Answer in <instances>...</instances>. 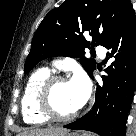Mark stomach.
<instances>
[{
	"label": "stomach",
	"mask_w": 136,
	"mask_h": 136,
	"mask_svg": "<svg viewBox=\"0 0 136 136\" xmlns=\"http://www.w3.org/2000/svg\"><path fill=\"white\" fill-rule=\"evenodd\" d=\"M55 136H79V135H77L76 133L62 132Z\"/></svg>",
	"instance_id": "0dacf381"
}]
</instances>
